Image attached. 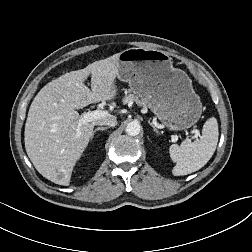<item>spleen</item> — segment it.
<instances>
[{"label":"spleen","mask_w":252,"mask_h":252,"mask_svg":"<svg viewBox=\"0 0 252 252\" xmlns=\"http://www.w3.org/2000/svg\"><path fill=\"white\" fill-rule=\"evenodd\" d=\"M218 123L216 118H209L203 125L198 141H183L180 145L172 144L170 157L176 163L172 173L182 176L201 169L212 157L218 143Z\"/></svg>","instance_id":"1"}]
</instances>
